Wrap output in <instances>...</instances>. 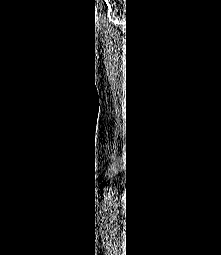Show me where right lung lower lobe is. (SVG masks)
Here are the masks:
<instances>
[{
  "label": "right lung lower lobe",
  "mask_w": 221,
  "mask_h": 255,
  "mask_svg": "<svg viewBox=\"0 0 221 255\" xmlns=\"http://www.w3.org/2000/svg\"><path fill=\"white\" fill-rule=\"evenodd\" d=\"M126 199H127V201L129 202V201H130V196L127 195V198H126Z\"/></svg>",
  "instance_id": "1"
}]
</instances>
